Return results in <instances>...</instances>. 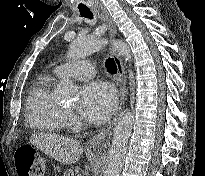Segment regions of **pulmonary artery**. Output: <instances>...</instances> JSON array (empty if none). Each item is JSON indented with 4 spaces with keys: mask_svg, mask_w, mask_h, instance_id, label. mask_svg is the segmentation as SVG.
<instances>
[{
    "mask_svg": "<svg viewBox=\"0 0 205 176\" xmlns=\"http://www.w3.org/2000/svg\"><path fill=\"white\" fill-rule=\"evenodd\" d=\"M54 73L58 77L71 76L77 79H91L95 75V67L89 62L77 60L56 66Z\"/></svg>",
    "mask_w": 205,
    "mask_h": 176,
    "instance_id": "1",
    "label": "pulmonary artery"
}]
</instances>
